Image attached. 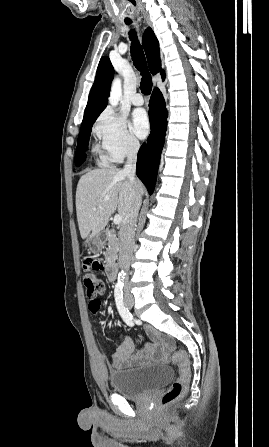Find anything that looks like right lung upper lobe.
<instances>
[{
	"instance_id": "cb5924a9",
	"label": "right lung upper lobe",
	"mask_w": 269,
	"mask_h": 447,
	"mask_svg": "<svg viewBox=\"0 0 269 447\" xmlns=\"http://www.w3.org/2000/svg\"><path fill=\"white\" fill-rule=\"evenodd\" d=\"M142 43L151 73L156 74L160 72L161 75H164V70L161 69L159 43L150 27L144 31ZM113 75L114 69L110 59L105 56L102 57L97 68L95 82L88 98L81 127L95 122L99 114L107 106Z\"/></svg>"
}]
</instances>
